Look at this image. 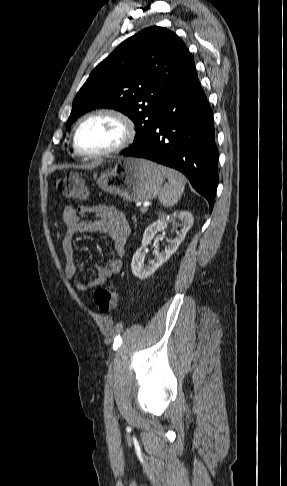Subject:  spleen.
I'll return each mask as SVG.
<instances>
[{
	"instance_id": "spleen-1",
	"label": "spleen",
	"mask_w": 287,
	"mask_h": 486,
	"mask_svg": "<svg viewBox=\"0 0 287 486\" xmlns=\"http://www.w3.org/2000/svg\"><path fill=\"white\" fill-rule=\"evenodd\" d=\"M159 167L167 177L168 182L160 191L158 199L164 207H172L180 200L184 192L186 180L180 172L174 169L165 166Z\"/></svg>"
}]
</instances>
